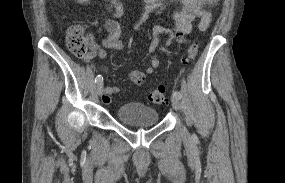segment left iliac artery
I'll return each instance as SVG.
<instances>
[{"mask_svg": "<svg viewBox=\"0 0 285 183\" xmlns=\"http://www.w3.org/2000/svg\"><path fill=\"white\" fill-rule=\"evenodd\" d=\"M173 97H177V98H181L182 97V95H181V93L179 92V91H177V90H174L173 91Z\"/></svg>", "mask_w": 285, "mask_h": 183, "instance_id": "44dca946", "label": "left iliac artery"}]
</instances>
